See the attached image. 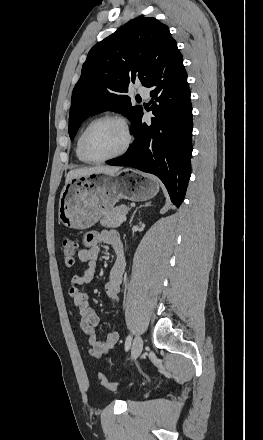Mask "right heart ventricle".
Instances as JSON below:
<instances>
[{"instance_id":"e07e8e85","label":"right heart ventricle","mask_w":263,"mask_h":440,"mask_svg":"<svg viewBox=\"0 0 263 440\" xmlns=\"http://www.w3.org/2000/svg\"><path fill=\"white\" fill-rule=\"evenodd\" d=\"M89 124V123H88ZM86 124L81 131L79 132L77 138H76V142H75V155L77 157V159L81 162V163H87L88 161H86L82 154H81V150H80V141H81V137L83 135L84 130L86 129L87 125Z\"/></svg>"}]
</instances>
